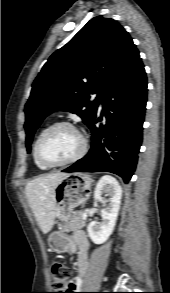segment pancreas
<instances>
[{"label": "pancreas", "mask_w": 170, "mask_h": 293, "mask_svg": "<svg viewBox=\"0 0 170 293\" xmlns=\"http://www.w3.org/2000/svg\"><path fill=\"white\" fill-rule=\"evenodd\" d=\"M85 224L86 221L83 220V213L81 211L73 212V214L70 217V220L63 225V228L65 230L75 231L83 228Z\"/></svg>", "instance_id": "obj_1"}]
</instances>
